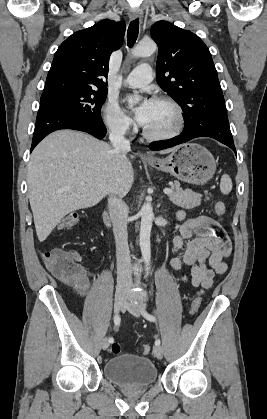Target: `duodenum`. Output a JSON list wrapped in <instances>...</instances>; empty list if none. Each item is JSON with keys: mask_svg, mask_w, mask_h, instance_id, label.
<instances>
[{"mask_svg": "<svg viewBox=\"0 0 267 419\" xmlns=\"http://www.w3.org/2000/svg\"><path fill=\"white\" fill-rule=\"evenodd\" d=\"M103 219H104V222L107 226L111 225V220H110L108 212H104Z\"/></svg>", "mask_w": 267, "mask_h": 419, "instance_id": "duodenum-1", "label": "duodenum"}]
</instances>
